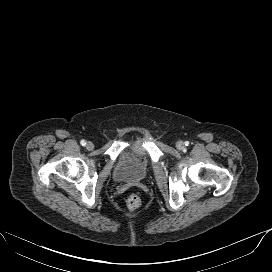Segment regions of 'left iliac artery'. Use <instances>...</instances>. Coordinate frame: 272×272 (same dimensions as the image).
Segmentation results:
<instances>
[{
  "label": "left iliac artery",
  "mask_w": 272,
  "mask_h": 272,
  "mask_svg": "<svg viewBox=\"0 0 272 272\" xmlns=\"http://www.w3.org/2000/svg\"><path fill=\"white\" fill-rule=\"evenodd\" d=\"M186 146H188V142H186Z\"/></svg>",
  "instance_id": "44dca946"
}]
</instances>
